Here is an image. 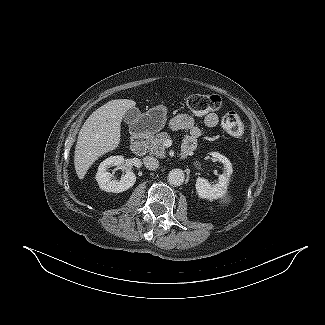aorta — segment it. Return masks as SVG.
Instances as JSON below:
<instances>
[{"label": "aorta", "instance_id": "762f6f07", "mask_svg": "<svg viewBox=\"0 0 325 325\" xmlns=\"http://www.w3.org/2000/svg\"><path fill=\"white\" fill-rule=\"evenodd\" d=\"M185 180V174L182 169H172L168 174V182L170 185L179 186Z\"/></svg>", "mask_w": 325, "mask_h": 325}]
</instances>
